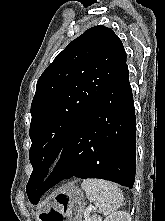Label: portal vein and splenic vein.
I'll use <instances>...</instances> for the list:
<instances>
[{"mask_svg":"<svg viewBox=\"0 0 165 221\" xmlns=\"http://www.w3.org/2000/svg\"><path fill=\"white\" fill-rule=\"evenodd\" d=\"M92 209H93L92 207H88L86 211H87V212H91ZM85 221H92V220H91L90 218H86Z\"/></svg>","mask_w":165,"mask_h":221,"instance_id":"obj_1","label":"portal vein and splenic vein"}]
</instances>
